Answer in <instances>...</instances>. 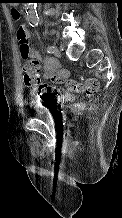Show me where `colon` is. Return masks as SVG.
Instances as JSON below:
<instances>
[{
	"instance_id": "5ec220e1",
	"label": "colon",
	"mask_w": 122,
	"mask_h": 218,
	"mask_svg": "<svg viewBox=\"0 0 122 218\" xmlns=\"http://www.w3.org/2000/svg\"><path fill=\"white\" fill-rule=\"evenodd\" d=\"M12 17L16 21L20 19V12L18 9H12ZM17 40L22 65L25 72V85L28 87H32L35 90V92L39 95H46L48 92H52L53 90L50 89L47 84L40 82L38 78L40 65L31 57L29 33L23 24H21L17 29ZM98 87L99 84L95 78H86L81 81H69L67 83V88L69 91L81 93L84 96H92L97 92ZM80 109V105L73 106L74 111H79Z\"/></svg>"
}]
</instances>
